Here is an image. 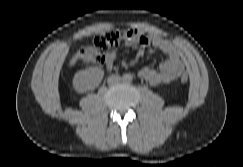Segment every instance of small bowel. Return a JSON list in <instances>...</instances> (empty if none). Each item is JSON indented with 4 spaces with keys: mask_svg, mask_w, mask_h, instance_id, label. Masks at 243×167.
Segmentation results:
<instances>
[{
    "mask_svg": "<svg viewBox=\"0 0 243 167\" xmlns=\"http://www.w3.org/2000/svg\"><path fill=\"white\" fill-rule=\"evenodd\" d=\"M130 37L124 43L128 48H155L163 52L167 58L158 69L144 67L139 76L151 85L168 84L176 80L184 72V63L180 51L169 40L139 29H129ZM116 52L110 50L105 55V66L112 69Z\"/></svg>",
    "mask_w": 243,
    "mask_h": 167,
    "instance_id": "obj_1",
    "label": "small bowel"
}]
</instances>
